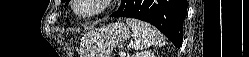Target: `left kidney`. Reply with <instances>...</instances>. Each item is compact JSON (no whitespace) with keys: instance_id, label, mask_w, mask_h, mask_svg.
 <instances>
[{"instance_id":"obj_1","label":"left kidney","mask_w":249,"mask_h":57,"mask_svg":"<svg viewBox=\"0 0 249 57\" xmlns=\"http://www.w3.org/2000/svg\"><path fill=\"white\" fill-rule=\"evenodd\" d=\"M132 57H155L154 53L150 50L137 52Z\"/></svg>"}]
</instances>
